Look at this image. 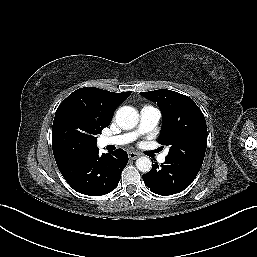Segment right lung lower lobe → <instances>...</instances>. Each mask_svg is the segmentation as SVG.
I'll return each mask as SVG.
<instances>
[{"instance_id": "right-lung-lower-lobe-1", "label": "right lung lower lobe", "mask_w": 257, "mask_h": 257, "mask_svg": "<svg viewBox=\"0 0 257 257\" xmlns=\"http://www.w3.org/2000/svg\"><path fill=\"white\" fill-rule=\"evenodd\" d=\"M127 162L128 155L123 149L99 155L95 148L56 163L72 188L85 195L100 196L116 188Z\"/></svg>"}]
</instances>
